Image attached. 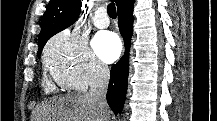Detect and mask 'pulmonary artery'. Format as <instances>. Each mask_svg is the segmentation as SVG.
Returning <instances> with one entry per match:
<instances>
[{"mask_svg": "<svg viewBox=\"0 0 217 121\" xmlns=\"http://www.w3.org/2000/svg\"><path fill=\"white\" fill-rule=\"evenodd\" d=\"M93 23L100 29H104L109 26L110 20L104 9L100 8L96 11Z\"/></svg>", "mask_w": 217, "mask_h": 121, "instance_id": "obj_1", "label": "pulmonary artery"}]
</instances>
